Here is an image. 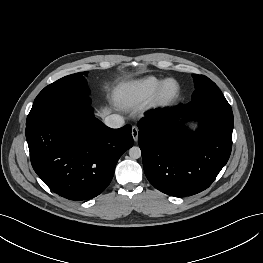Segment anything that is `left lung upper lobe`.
<instances>
[{
    "label": "left lung upper lobe",
    "mask_w": 263,
    "mask_h": 263,
    "mask_svg": "<svg viewBox=\"0 0 263 263\" xmlns=\"http://www.w3.org/2000/svg\"><path fill=\"white\" fill-rule=\"evenodd\" d=\"M195 84V91L192 101L185 105L189 111L222 108L231 109L217 85L204 75L192 74Z\"/></svg>",
    "instance_id": "obj_1"
}]
</instances>
